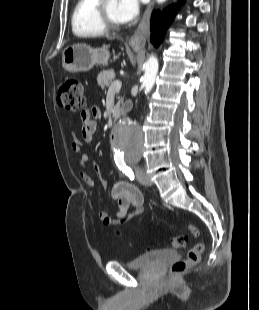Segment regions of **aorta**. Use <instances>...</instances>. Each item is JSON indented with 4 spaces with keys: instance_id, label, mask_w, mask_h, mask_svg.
I'll list each match as a JSON object with an SVG mask.
<instances>
[{
    "instance_id": "obj_1",
    "label": "aorta",
    "mask_w": 259,
    "mask_h": 310,
    "mask_svg": "<svg viewBox=\"0 0 259 310\" xmlns=\"http://www.w3.org/2000/svg\"><path fill=\"white\" fill-rule=\"evenodd\" d=\"M166 0H157L163 3ZM158 72V60L151 55L145 63V73L143 77L144 92L149 93L155 83ZM144 143V133L141 127L128 118L120 121L115 129L112 147L114 153L128 160L139 159Z\"/></svg>"
}]
</instances>
